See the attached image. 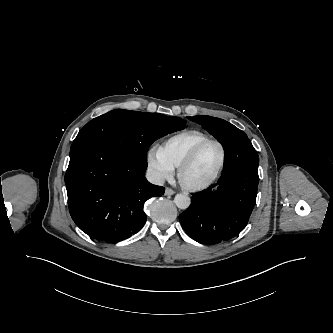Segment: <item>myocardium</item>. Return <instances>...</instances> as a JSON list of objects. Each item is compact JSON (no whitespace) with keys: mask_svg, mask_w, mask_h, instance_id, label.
Segmentation results:
<instances>
[{"mask_svg":"<svg viewBox=\"0 0 333 333\" xmlns=\"http://www.w3.org/2000/svg\"><path fill=\"white\" fill-rule=\"evenodd\" d=\"M208 144H215L219 147L220 152H221V158H220V162L219 165L217 167V169L215 170V172L213 173V175L206 181L201 182V183H188L185 179H184V173L186 171V169L194 162V160L196 159L198 153L200 152V150L205 147ZM225 161H226V150L224 145L216 140V139H211L208 138L206 140H203L201 142H199L189 153L188 155L184 158V160L180 163V165L178 166V172H177V176H178V180L180 185L188 190V191H201L204 190L208 187H210L212 184L215 183V181L219 178V176L221 175L223 169H224V165H225Z\"/></svg>","mask_w":333,"mask_h":333,"instance_id":"obj_1","label":"myocardium"}]
</instances>
